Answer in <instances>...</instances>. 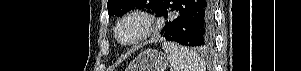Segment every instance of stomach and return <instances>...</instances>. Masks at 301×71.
<instances>
[{
	"instance_id": "obj_1",
	"label": "stomach",
	"mask_w": 301,
	"mask_h": 71,
	"mask_svg": "<svg viewBox=\"0 0 301 71\" xmlns=\"http://www.w3.org/2000/svg\"><path fill=\"white\" fill-rule=\"evenodd\" d=\"M168 62L164 53L157 50H146L129 64L126 71H165Z\"/></svg>"
}]
</instances>
